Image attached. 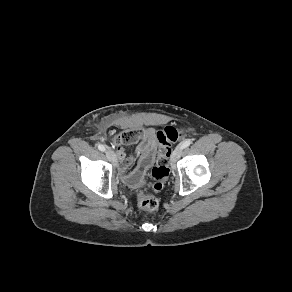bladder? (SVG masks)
<instances>
[{
  "label": "bladder",
  "mask_w": 292,
  "mask_h": 292,
  "mask_svg": "<svg viewBox=\"0 0 292 292\" xmlns=\"http://www.w3.org/2000/svg\"><path fill=\"white\" fill-rule=\"evenodd\" d=\"M124 183L129 188H139L143 185L144 181L142 179L136 178L133 175H128L124 178Z\"/></svg>",
  "instance_id": "31cf9c89"
}]
</instances>
